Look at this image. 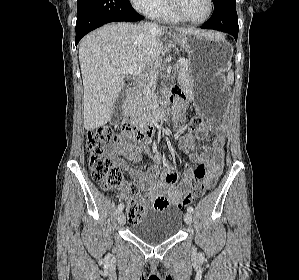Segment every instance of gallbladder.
Returning a JSON list of instances; mask_svg holds the SVG:
<instances>
[{"mask_svg":"<svg viewBox=\"0 0 299 280\" xmlns=\"http://www.w3.org/2000/svg\"><path fill=\"white\" fill-rule=\"evenodd\" d=\"M124 100H125V91H122L118 95V97H117V99L114 103V108H113V113H112V120L115 121V120H117L121 117V106H122Z\"/></svg>","mask_w":299,"mask_h":280,"instance_id":"obj_1","label":"gallbladder"}]
</instances>
